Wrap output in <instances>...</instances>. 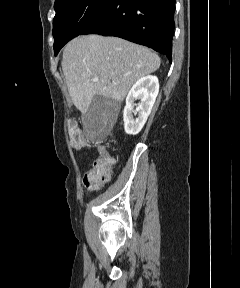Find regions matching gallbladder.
<instances>
[{
    "instance_id": "gallbladder-1",
    "label": "gallbladder",
    "mask_w": 240,
    "mask_h": 288,
    "mask_svg": "<svg viewBox=\"0 0 240 288\" xmlns=\"http://www.w3.org/2000/svg\"><path fill=\"white\" fill-rule=\"evenodd\" d=\"M116 103L103 96H94L89 110L84 115L85 123L89 124L91 121L103 119L111 121L113 114L116 111Z\"/></svg>"
}]
</instances>
